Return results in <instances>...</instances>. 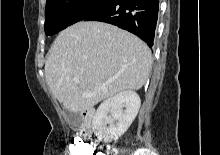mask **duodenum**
I'll list each match as a JSON object with an SVG mask.
<instances>
[{
  "label": "duodenum",
  "mask_w": 220,
  "mask_h": 155,
  "mask_svg": "<svg viewBox=\"0 0 220 155\" xmlns=\"http://www.w3.org/2000/svg\"><path fill=\"white\" fill-rule=\"evenodd\" d=\"M94 116V110L86 109L81 113V129L80 134L82 137H88L92 132V120Z\"/></svg>",
  "instance_id": "1"
}]
</instances>
